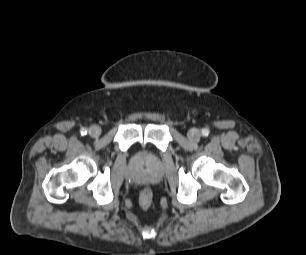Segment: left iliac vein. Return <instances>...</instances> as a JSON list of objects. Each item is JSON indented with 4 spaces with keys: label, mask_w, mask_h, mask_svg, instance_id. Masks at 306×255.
<instances>
[{
    "label": "left iliac vein",
    "mask_w": 306,
    "mask_h": 255,
    "mask_svg": "<svg viewBox=\"0 0 306 255\" xmlns=\"http://www.w3.org/2000/svg\"><path fill=\"white\" fill-rule=\"evenodd\" d=\"M187 136L190 140L196 141L201 137V132L198 129H191L188 131Z\"/></svg>",
    "instance_id": "4c4485c4"
}]
</instances>
